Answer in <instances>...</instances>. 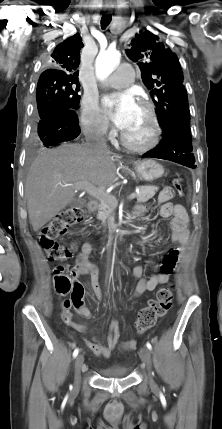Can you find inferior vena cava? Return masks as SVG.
<instances>
[{"mask_svg":"<svg viewBox=\"0 0 222 429\" xmlns=\"http://www.w3.org/2000/svg\"><path fill=\"white\" fill-rule=\"evenodd\" d=\"M107 124H103L99 131L86 133V145L91 149L107 150L104 134L107 132Z\"/></svg>","mask_w":222,"mask_h":429,"instance_id":"inferior-vena-cava-1","label":"inferior vena cava"}]
</instances>
